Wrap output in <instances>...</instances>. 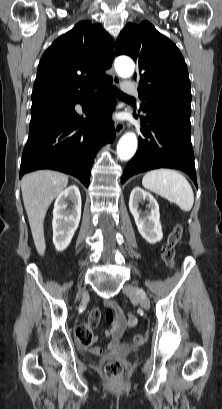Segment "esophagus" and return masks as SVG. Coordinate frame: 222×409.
<instances>
[{"mask_svg": "<svg viewBox=\"0 0 222 409\" xmlns=\"http://www.w3.org/2000/svg\"><path fill=\"white\" fill-rule=\"evenodd\" d=\"M113 83H114L115 86L120 85V79L115 73H113ZM124 128H125L124 122L118 121L115 124L116 136H119L123 132Z\"/></svg>", "mask_w": 222, "mask_h": 409, "instance_id": "1", "label": "esophagus"}]
</instances>
